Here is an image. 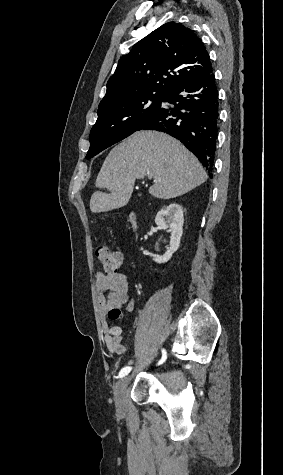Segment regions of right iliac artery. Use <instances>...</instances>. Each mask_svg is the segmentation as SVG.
<instances>
[{
    "label": "right iliac artery",
    "mask_w": 283,
    "mask_h": 475,
    "mask_svg": "<svg viewBox=\"0 0 283 475\" xmlns=\"http://www.w3.org/2000/svg\"><path fill=\"white\" fill-rule=\"evenodd\" d=\"M167 358V355H166V351L163 349L162 350V359L159 361L158 365L162 364ZM131 371V367H124L123 369H121V371L119 372V378H122L124 377L125 375H127L129 372Z\"/></svg>",
    "instance_id": "right-iliac-artery-1"
}]
</instances>
